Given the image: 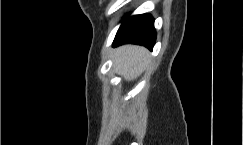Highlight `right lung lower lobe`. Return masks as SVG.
<instances>
[{
    "mask_svg": "<svg viewBox=\"0 0 243 145\" xmlns=\"http://www.w3.org/2000/svg\"><path fill=\"white\" fill-rule=\"evenodd\" d=\"M156 40L154 19L149 14L125 18L113 42V46L126 43L143 45L152 50Z\"/></svg>",
    "mask_w": 243,
    "mask_h": 145,
    "instance_id": "right-lung-lower-lobe-1",
    "label": "right lung lower lobe"
}]
</instances>
